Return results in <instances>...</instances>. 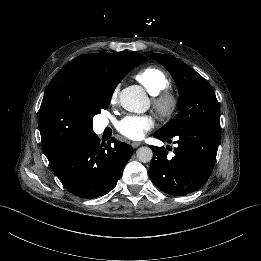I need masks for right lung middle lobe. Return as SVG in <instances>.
I'll use <instances>...</instances> for the list:
<instances>
[{
	"mask_svg": "<svg viewBox=\"0 0 261 261\" xmlns=\"http://www.w3.org/2000/svg\"><path fill=\"white\" fill-rule=\"evenodd\" d=\"M147 59L137 53L129 52L113 68L111 73L97 80L91 95V106L94 115L101 109H107L118 82L136 65L146 62Z\"/></svg>",
	"mask_w": 261,
	"mask_h": 261,
	"instance_id": "1",
	"label": "right lung middle lobe"
}]
</instances>
